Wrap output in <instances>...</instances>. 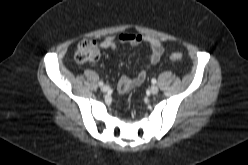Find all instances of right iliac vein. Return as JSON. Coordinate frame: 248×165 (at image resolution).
Returning a JSON list of instances; mask_svg holds the SVG:
<instances>
[{
    "instance_id": "1",
    "label": "right iliac vein",
    "mask_w": 248,
    "mask_h": 165,
    "mask_svg": "<svg viewBox=\"0 0 248 165\" xmlns=\"http://www.w3.org/2000/svg\"><path fill=\"white\" fill-rule=\"evenodd\" d=\"M101 91L104 92V93H105V92H108V91H109V87L106 86V85H105V86H102V87H101Z\"/></svg>"
}]
</instances>
